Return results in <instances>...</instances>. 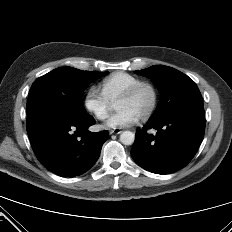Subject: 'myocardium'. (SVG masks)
Returning <instances> with one entry per match:
<instances>
[{"mask_svg":"<svg viewBox=\"0 0 232 232\" xmlns=\"http://www.w3.org/2000/svg\"><path fill=\"white\" fill-rule=\"evenodd\" d=\"M143 88H149L151 90V93H152V101H151L150 106L140 116L141 119H147V118H149L154 113V111L157 108L158 102H159V92H158V89L155 86V84H153L152 82L142 80V81L136 83L135 85H133L132 87H130L127 91H125L122 95H120L117 98L116 102L132 99Z\"/></svg>","mask_w":232,"mask_h":232,"instance_id":"1","label":"myocardium"}]
</instances>
